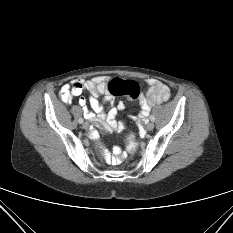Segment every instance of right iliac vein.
<instances>
[{
    "instance_id": "1",
    "label": "right iliac vein",
    "mask_w": 233,
    "mask_h": 233,
    "mask_svg": "<svg viewBox=\"0 0 233 233\" xmlns=\"http://www.w3.org/2000/svg\"><path fill=\"white\" fill-rule=\"evenodd\" d=\"M82 127H83L84 129H88V128H89V124H88L87 122H84V123L82 124Z\"/></svg>"
}]
</instances>
